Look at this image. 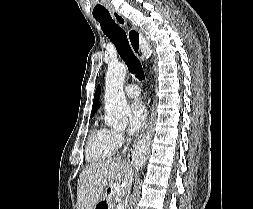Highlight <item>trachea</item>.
Here are the masks:
<instances>
[{
  "mask_svg": "<svg viewBox=\"0 0 253 209\" xmlns=\"http://www.w3.org/2000/svg\"><path fill=\"white\" fill-rule=\"evenodd\" d=\"M100 23L104 34L115 45L119 55L128 66V70L139 80L144 79V71L139 59L132 51L125 31L120 28L110 15H102L95 17ZM136 50V49H135ZM138 51V49L136 50Z\"/></svg>",
  "mask_w": 253,
  "mask_h": 209,
  "instance_id": "trachea-1",
  "label": "trachea"
}]
</instances>
